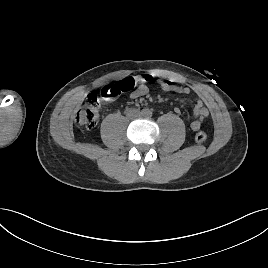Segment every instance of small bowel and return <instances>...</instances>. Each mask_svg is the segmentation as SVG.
Masks as SVG:
<instances>
[{
    "mask_svg": "<svg viewBox=\"0 0 268 268\" xmlns=\"http://www.w3.org/2000/svg\"><path fill=\"white\" fill-rule=\"evenodd\" d=\"M145 76H138L136 79L140 84L130 93V99H137L145 96L149 92V87L146 84ZM159 87L167 92H175L182 95H188L191 92V89L187 86H179L173 82L159 79L157 81ZM175 111L179 113V109L176 108ZM209 111L203 104L201 100H197L193 107V119L191 121L190 127L193 131H196L201 128L204 120L208 117Z\"/></svg>",
    "mask_w": 268,
    "mask_h": 268,
    "instance_id": "obj_1",
    "label": "small bowel"
}]
</instances>
